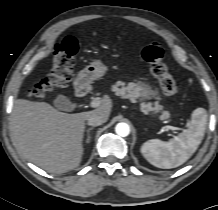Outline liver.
I'll return each mask as SVG.
<instances>
[{
    "label": "liver",
    "mask_w": 218,
    "mask_h": 210,
    "mask_svg": "<svg viewBox=\"0 0 218 210\" xmlns=\"http://www.w3.org/2000/svg\"><path fill=\"white\" fill-rule=\"evenodd\" d=\"M111 109L109 98L92 111L76 114L60 112L45 102L17 99L11 114L12 132L31 162L62 174L80 165L87 118L96 113L107 121Z\"/></svg>",
    "instance_id": "1"
}]
</instances>
